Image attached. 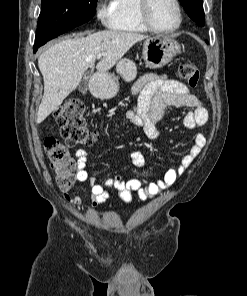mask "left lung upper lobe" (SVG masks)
Wrapping results in <instances>:
<instances>
[{
    "label": "left lung upper lobe",
    "mask_w": 247,
    "mask_h": 296,
    "mask_svg": "<svg viewBox=\"0 0 247 296\" xmlns=\"http://www.w3.org/2000/svg\"><path fill=\"white\" fill-rule=\"evenodd\" d=\"M188 16L198 25L204 26V11L202 0H179Z\"/></svg>",
    "instance_id": "1"
}]
</instances>
